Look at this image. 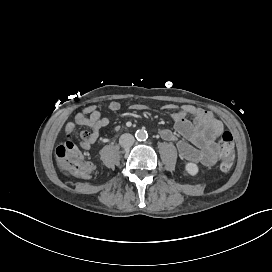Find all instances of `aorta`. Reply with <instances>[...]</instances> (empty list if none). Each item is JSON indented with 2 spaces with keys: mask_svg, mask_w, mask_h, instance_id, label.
I'll list each match as a JSON object with an SVG mask.
<instances>
[{
  "mask_svg": "<svg viewBox=\"0 0 272 272\" xmlns=\"http://www.w3.org/2000/svg\"><path fill=\"white\" fill-rule=\"evenodd\" d=\"M135 137L138 141H144L148 137L147 131L144 129L137 130L135 133Z\"/></svg>",
  "mask_w": 272,
  "mask_h": 272,
  "instance_id": "aorta-1",
  "label": "aorta"
}]
</instances>
